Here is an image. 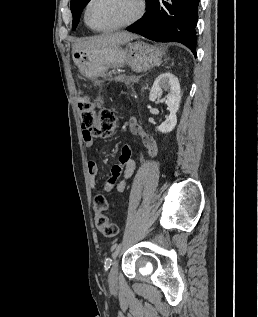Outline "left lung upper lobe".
Segmentation results:
<instances>
[{
    "instance_id": "5c2ea615",
    "label": "left lung upper lobe",
    "mask_w": 258,
    "mask_h": 317,
    "mask_svg": "<svg viewBox=\"0 0 258 317\" xmlns=\"http://www.w3.org/2000/svg\"><path fill=\"white\" fill-rule=\"evenodd\" d=\"M89 1L90 0H71V12L73 15V23H72L73 30H75V28L77 27L81 12Z\"/></svg>"
}]
</instances>
